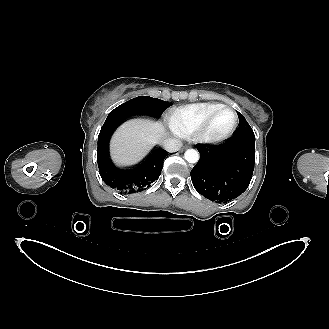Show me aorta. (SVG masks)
Wrapping results in <instances>:
<instances>
[{"label": "aorta", "instance_id": "obj_1", "mask_svg": "<svg viewBox=\"0 0 329 329\" xmlns=\"http://www.w3.org/2000/svg\"><path fill=\"white\" fill-rule=\"evenodd\" d=\"M184 157L189 163H197L199 160V153L194 149H188L185 151Z\"/></svg>", "mask_w": 329, "mask_h": 329}]
</instances>
